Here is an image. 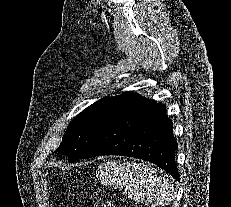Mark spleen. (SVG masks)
Masks as SVG:
<instances>
[{
	"instance_id": "1",
	"label": "spleen",
	"mask_w": 231,
	"mask_h": 207,
	"mask_svg": "<svg viewBox=\"0 0 231 207\" xmlns=\"http://www.w3.org/2000/svg\"><path fill=\"white\" fill-rule=\"evenodd\" d=\"M98 175L103 184L117 186L136 202L164 207L174 200L173 186L146 164L107 162L99 166Z\"/></svg>"
}]
</instances>
